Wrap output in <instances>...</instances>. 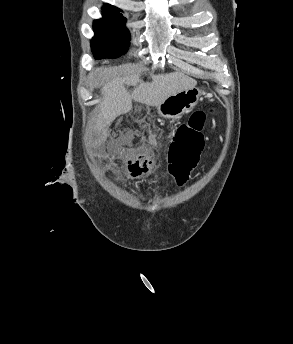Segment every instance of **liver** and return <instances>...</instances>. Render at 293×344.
Returning a JSON list of instances; mask_svg holds the SVG:
<instances>
[{
	"label": "liver",
	"instance_id": "1",
	"mask_svg": "<svg viewBox=\"0 0 293 344\" xmlns=\"http://www.w3.org/2000/svg\"><path fill=\"white\" fill-rule=\"evenodd\" d=\"M135 86L130 94L124 85ZM197 81L180 72L152 75L151 82H144L140 74L115 78L106 83L101 92L103 100L97 118V127L108 128L121 114L132 109V100L150 106H158L166 98L181 91L192 89Z\"/></svg>",
	"mask_w": 293,
	"mask_h": 344
}]
</instances>
